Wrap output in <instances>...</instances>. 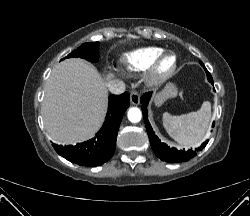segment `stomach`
Returning a JSON list of instances; mask_svg holds the SVG:
<instances>
[{
    "label": "stomach",
    "mask_w": 250,
    "mask_h": 216,
    "mask_svg": "<svg viewBox=\"0 0 250 216\" xmlns=\"http://www.w3.org/2000/svg\"><path fill=\"white\" fill-rule=\"evenodd\" d=\"M178 89L173 83H168L165 88L155 95V104L161 106L166 100L176 97Z\"/></svg>",
    "instance_id": "0dacf381"
}]
</instances>
